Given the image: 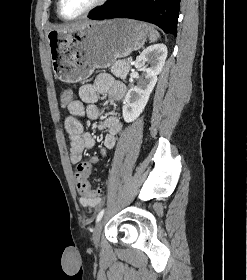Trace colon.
Wrapping results in <instances>:
<instances>
[{
	"label": "colon",
	"instance_id": "5ec220e1",
	"mask_svg": "<svg viewBox=\"0 0 247 280\" xmlns=\"http://www.w3.org/2000/svg\"><path fill=\"white\" fill-rule=\"evenodd\" d=\"M74 94L70 88H65L60 93V101L63 106H68L73 102ZM97 161L96 157H93L90 162H82L77 166L75 172V180L77 184V190L81 196L96 198L101 194V189L98 187H92L88 181L91 164Z\"/></svg>",
	"mask_w": 247,
	"mask_h": 280
}]
</instances>
